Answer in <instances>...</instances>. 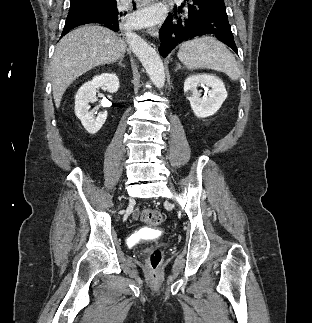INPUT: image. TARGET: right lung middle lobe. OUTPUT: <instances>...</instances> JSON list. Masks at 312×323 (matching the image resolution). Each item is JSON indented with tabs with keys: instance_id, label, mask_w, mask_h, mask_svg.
I'll list each match as a JSON object with an SVG mask.
<instances>
[{
	"instance_id": "right-lung-middle-lobe-1",
	"label": "right lung middle lobe",
	"mask_w": 312,
	"mask_h": 323,
	"mask_svg": "<svg viewBox=\"0 0 312 323\" xmlns=\"http://www.w3.org/2000/svg\"><path fill=\"white\" fill-rule=\"evenodd\" d=\"M96 0H70V9L71 8H75L81 4H90V3H93L95 2Z\"/></svg>"
}]
</instances>
